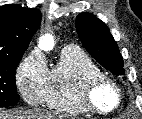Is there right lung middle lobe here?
<instances>
[{"mask_svg":"<svg viewBox=\"0 0 142 119\" xmlns=\"http://www.w3.org/2000/svg\"><path fill=\"white\" fill-rule=\"evenodd\" d=\"M22 55L0 59V108L17 103L20 96L17 93L15 74Z\"/></svg>","mask_w":142,"mask_h":119,"instance_id":"right-lung-middle-lobe-1","label":"right lung middle lobe"}]
</instances>
